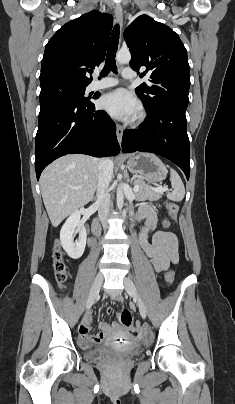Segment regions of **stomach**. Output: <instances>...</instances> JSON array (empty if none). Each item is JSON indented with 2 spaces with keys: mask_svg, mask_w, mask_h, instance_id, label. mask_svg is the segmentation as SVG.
<instances>
[{
  "mask_svg": "<svg viewBox=\"0 0 235 404\" xmlns=\"http://www.w3.org/2000/svg\"><path fill=\"white\" fill-rule=\"evenodd\" d=\"M127 168L142 180L151 183L163 181L167 176L164 163L152 153H137L128 156Z\"/></svg>",
  "mask_w": 235,
  "mask_h": 404,
  "instance_id": "1",
  "label": "stomach"
}]
</instances>
